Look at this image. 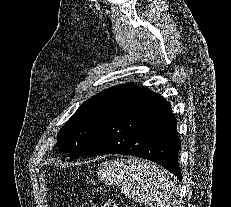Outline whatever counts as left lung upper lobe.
I'll use <instances>...</instances> for the list:
<instances>
[{
	"label": "left lung upper lobe",
	"mask_w": 231,
	"mask_h": 207,
	"mask_svg": "<svg viewBox=\"0 0 231 207\" xmlns=\"http://www.w3.org/2000/svg\"><path fill=\"white\" fill-rule=\"evenodd\" d=\"M140 89L131 83L117 85L84 102L58 132L59 150L71 159L82 156L109 118Z\"/></svg>",
	"instance_id": "left-lung-upper-lobe-1"
}]
</instances>
